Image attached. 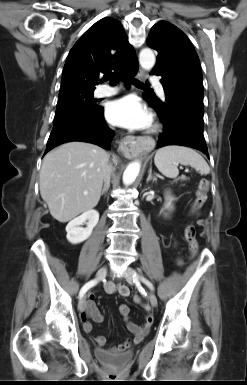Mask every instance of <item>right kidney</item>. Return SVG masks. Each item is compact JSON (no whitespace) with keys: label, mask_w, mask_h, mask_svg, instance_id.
Listing matches in <instances>:
<instances>
[{"label":"right kidney","mask_w":247,"mask_h":385,"mask_svg":"<svg viewBox=\"0 0 247 385\" xmlns=\"http://www.w3.org/2000/svg\"><path fill=\"white\" fill-rule=\"evenodd\" d=\"M87 222V227H80L84 222ZM99 221V213L96 210H88L79 217L73 219L66 226L67 240L71 244H79L88 239L93 231V228Z\"/></svg>","instance_id":"ca27d5eb"}]
</instances>
